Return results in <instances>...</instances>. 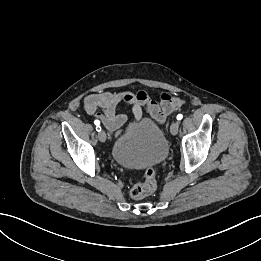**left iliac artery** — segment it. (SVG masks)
<instances>
[{
	"label": "left iliac artery",
	"mask_w": 261,
	"mask_h": 261,
	"mask_svg": "<svg viewBox=\"0 0 261 261\" xmlns=\"http://www.w3.org/2000/svg\"><path fill=\"white\" fill-rule=\"evenodd\" d=\"M183 118V115L182 114H178L177 115V120H181Z\"/></svg>",
	"instance_id": "left-iliac-artery-1"
}]
</instances>
